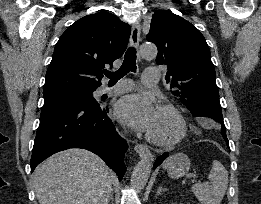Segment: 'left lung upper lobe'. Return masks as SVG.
<instances>
[{
	"label": "left lung upper lobe",
	"mask_w": 261,
	"mask_h": 204,
	"mask_svg": "<svg viewBox=\"0 0 261 204\" xmlns=\"http://www.w3.org/2000/svg\"><path fill=\"white\" fill-rule=\"evenodd\" d=\"M147 40L158 48L156 62L167 65L172 94L195 117L226 134L209 46L201 32L182 17L155 11Z\"/></svg>",
	"instance_id": "5c2ea615"
}]
</instances>
